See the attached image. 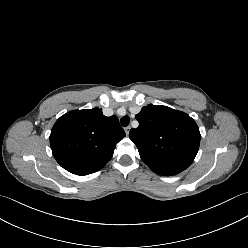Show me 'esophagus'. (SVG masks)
<instances>
[{
  "label": "esophagus",
  "mask_w": 248,
  "mask_h": 248,
  "mask_svg": "<svg viewBox=\"0 0 248 248\" xmlns=\"http://www.w3.org/2000/svg\"><path fill=\"white\" fill-rule=\"evenodd\" d=\"M130 126H128V127H126L124 130H125V133H126V135H128L129 134V131H130Z\"/></svg>",
  "instance_id": "esophagus-1"
}]
</instances>
